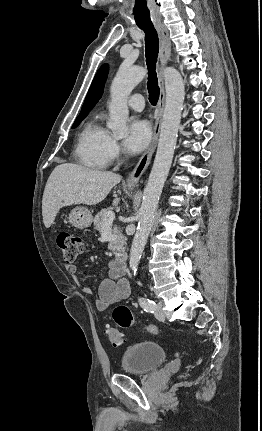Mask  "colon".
Masks as SVG:
<instances>
[{
    "label": "colon",
    "mask_w": 262,
    "mask_h": 431,
    "mask_svg": "<svg viewBox=\"0 0 262 431\" xmlns=\"http://www.w3.org/2000/svg\"><path fill=\"white\" fill-rule=\"evenodd\" d=\"M57 244L66 263H73L83 253L85 246L83 238L71 232L60 233L57 237ZM112 316L121 327H130L135 321L131 310L125 305L117 306L113 310ZM144 329L150 334L160 333V329L156 326L146 325ZM106 332L114 346H119L123 342L122 335L116 328L107 326Z\"/></svg>",
    "instance_id": "5ec220e1"
}]
</instances>
